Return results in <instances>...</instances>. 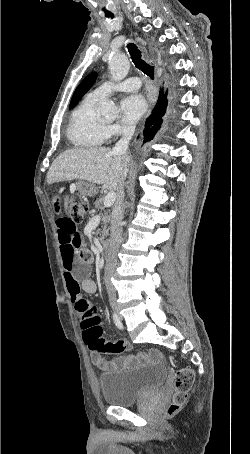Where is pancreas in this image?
Returning a JSON list of instances; mask_svg holds the SVG:
<instances>
[{
	"label": "pancreas",
	"instance_id": "pancreas-1",
	"mask_svg": "<svg viewBox=\"0 0 250 454\" xmlns=\"http://www.w3.org/2000/svg\"><path fill=\"white\" fill-rule=\"evenodd\" d=\"M103 198H99L95 201L94 205L97 210H103ZM110 222V216L107 215V212H104V215L102 217V230L98 231V234L100 235V240L104 239L106 236L109 234V228H107L108 223Z\"/></svg>",
	"mask_w": 250,
	"mask_h": 454
}]
</instances>
